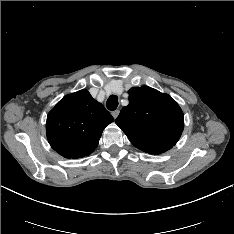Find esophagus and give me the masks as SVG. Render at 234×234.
Instances as JSON below:
<instances>
[{
  "instance_id": "esophagus-1",
  "label": "esophagus",
  "mask_w": 234,
  "mask_h": 234,
  "mask_svg": "<svg viewBox=\"0 0 234 234\" xmlns=\"http://www.w3.org/2000/svg\"><path fill=\"white\" fill-rule=\"evenodd\" d=\"M119 113H120V111H119L118 109H117V110H114V111L112 112V116L114 117V119H116V118L118 117Z\"/></svg>"
}]
</instances>
